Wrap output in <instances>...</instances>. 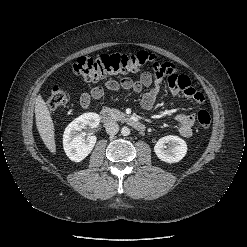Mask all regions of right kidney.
<instances>
[{
  "mask_svg": "<svg viewBox=\"0 0 247 247\" xmlns=\"http://www.w3.org/2000/svg\"><path fill=\"white\" fill-rule=\"evenodd\" d=\"M99 122L98 114L84 113L66 127L63 134V148L70 160L81 162L91 153L96 144V136L89 135L85 138L80 132L86 126L96 128Z\"/></svg>",
  "mask_w": 247,
  "mask_h": 247,
  "instance_id": "ca27d5eb",
  "label": "right kidney"
}]
</instances>
